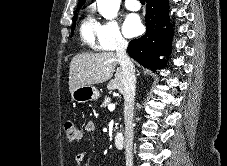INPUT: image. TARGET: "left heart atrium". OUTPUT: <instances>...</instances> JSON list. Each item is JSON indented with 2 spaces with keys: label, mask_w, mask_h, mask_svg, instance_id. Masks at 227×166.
<instances>
[{
  "label": "left heart atrium",
  "mask_w": 227,
  "mask_h": 166,
  "mask_svg": "<svg viewBox=\"0 0 227 166\" xmlns=\"http://www.w3.org/2000/svg\"><path fill=\"white\" fill-rule=\"evenodd\" d=\"M142 29L140 18L137 15L131 14L126 17L124 21V31L127 36H136L141 33Z\"/></svg>",
  "instance_id": "obj_1"
}]
</instances>
